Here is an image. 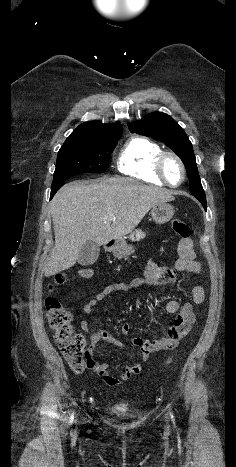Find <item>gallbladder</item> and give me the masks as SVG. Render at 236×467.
<instances>
[{
    "instance_id": "bac80fb5",
    "label": "gallbladder",
    "mask_w": 236,
    "mask_h": 467,
    "mask_svg": "<svg viewBox=\"0 0 236 467\" xmlns=\"http://www.w3.org/2000/svg\"><path fill=\"white\" fill-rule=\"evenodd\" d=\"M100 254V247L94 241H87L81 248L78 255V263L82 266L94 264Z\"/></svg>"
}]
</instances>
